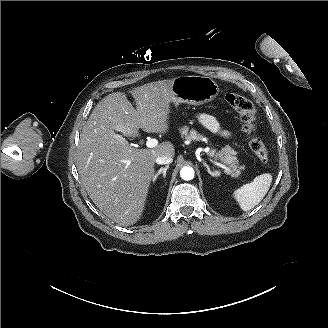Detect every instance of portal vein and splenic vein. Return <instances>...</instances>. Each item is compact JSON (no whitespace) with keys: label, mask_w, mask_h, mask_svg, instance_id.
Listing matches in <instances>:
<instances>
[{"label":"portal vein and splenic vein","mask_w":328,"mask_h":328,"mask_svg":"<svg viewBox=\"0 0 328 328\" xmlns=\"http://www.w3.org/2000/svg\"><path fill=\"white\" fill-rule=\"evenodd\" d=\"M157 145V140L156 139H147L145 146L147 148H154ZM218 166L223 168L224 170L231 172L230 167L226 166V165H222L221 163H218Z\"/></svg>","instance_id":"1"}]
</instances>
